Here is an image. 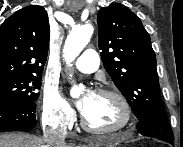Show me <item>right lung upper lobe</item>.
I'll list each match as a JSON object with an SVG mask.
<instances>
[{
    "label": "right lung upper lobe",
    "mask_w": 183,
    "mask_h": 147,
    "mask_svg": "<svg viewBox=\"0 0 183 147\" xmlns=\"http://www.w3.org/2000/svg\"><path fill=\"white\" fill-rule=\"evenodd\" d=\"M49 39L43 7L27 6L7 18L0 26V79L42 74Z\"/></svg>",
    "instance_id": "obj_1"
}]
</instances>
